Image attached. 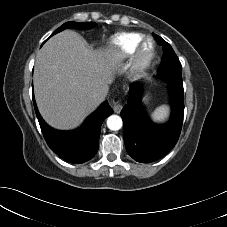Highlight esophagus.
<instances>
[{"label":"esophagus","instance_id":"1","mask_svg":"<svg viewBox=\"0 0 227 227\" xmlns=\"http://www.w3.org/2000/svg\"><path fill=\"white\" fill-rule=\"evenodd\" d=\"M123 108V105L121 103H116L113 107V110L115 113L119 114Z\"/></svg>","mask_w":227,"mask_h":227}]
</instances>
